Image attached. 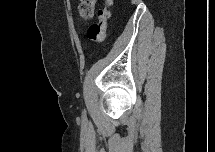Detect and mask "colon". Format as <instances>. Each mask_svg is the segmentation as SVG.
<instances>
[{
    "mask_svg": "<svg viewBox=\"0 0 215 152\" xmlns=\"http://www.w3.org/2000/svg\"><path fill=\"white\" fill-rule=\"evenodd\" d=\"M94 0H81L78 6L79 15L82 20L87 21L94 14ZM112 2L105 0L98 11V21L87 30V38L92 43H101L106 36L107 22L110 17V6Z\"/></svg>",
    "mask_w": 215,
    "mask_h": 152,
    "instance_id": "obj_1",
    "label": "colon"
}]
</instances>
